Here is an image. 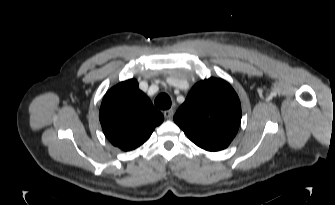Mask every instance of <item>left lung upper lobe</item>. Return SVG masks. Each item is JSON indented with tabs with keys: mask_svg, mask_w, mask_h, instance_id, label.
I'll return each mask as SVG.
<instances>
[{
	"mask_svg": "<svg viewBox=\"0 0 335 205\" xmlns=\"http://www.w3.org/2000/svg\"><path fill=\"white\" fill-rule=\"evenodd\" d=\"M174 121L197 146L220 151L231 143L240 126V100L226 81L202 80L193 86Z\"/></svg>",
	"mask_w": 335,
	"mask_h": 205,
	"instance_id": "left-lung-upper-lobe-1",
	"label": "left lung upper lobe"
}]
</instances>
